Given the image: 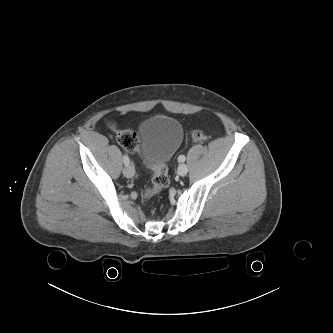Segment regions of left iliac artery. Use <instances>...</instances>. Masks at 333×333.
<instances>
[{
  "label": "left iliac artery",
  "mask_w": 333,
  "mask_h": 333,
  "mask_svg": "<svg viewBox=\"0 0 333 333\" xmlns=\"http://www.w3.org/2000/svg\"><path fill=\"white\" fill-rule=\"evenodd\" d=\"M185 159H186V157H185L184 155H180V156L178 157V161H179V162H184Z\"/></svg>",
  "instance_id": "left-iliac-artery-1"
}]
</instances>
